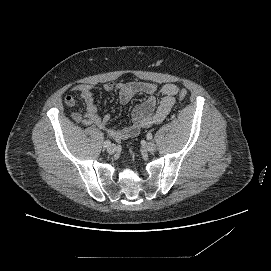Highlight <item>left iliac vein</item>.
<instances>
[{
	"mask_svg": "<svg viewBox=\"0 0 271 271\" xmlns=\"http://www.w3.org/2000/svg\"><path fill=\"white\" fill-rule=\"evenodd\" d=\"M145 149L147 151H150V152H153L156 150V145L153 143V142H148L146 145H145Z\"/></svg>",
	"mask_w": 271,
	"mask_h": 271,
	"instance_id": "obj_1",
	"label": "left iliac vein"
}]
</instances>
